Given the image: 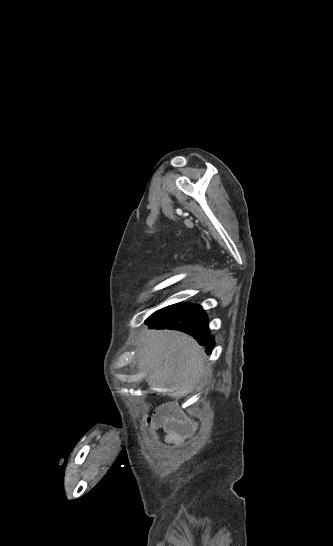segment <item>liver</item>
I'll return each instance as SVG.
<instances>
[{
	"label": "liver",
	"mask_w": 333,
	"mask_h": 546,
	"mask_svg": "<svg viewBox=\"0 0 333 546\" xmlns=\"http://www.w3.org/2000/svg\"><path fill=\"white\" fill-rule=\"evenodd\" d=\"M138 347V366L153 390L175 391L172 396L180 398L192 392L203 376L204 350L184 333L146 329Z\"/></svg>",
	"instance_id": "1"
}]
</instances>
